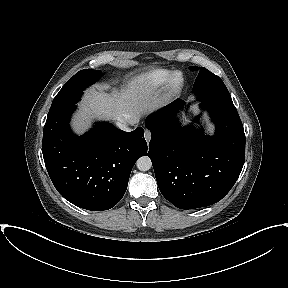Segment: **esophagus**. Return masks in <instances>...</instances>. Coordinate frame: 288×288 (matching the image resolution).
<instances>
[{"label": "esophagus", "instance_id": "1", "mask_svg": "<svg viewBox=\"0 0 288 288\" xmlns=\"http://www.w3.org/2000/svg\"><path fill=\"white\" fill-rule=\"evenodd\" d=\"M145 140L147 143H149L150 139H151V132L149 130H145Z\"/></svg>", "mask_w": 288, "mask_h": 288}]
</instances>
